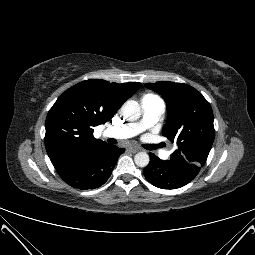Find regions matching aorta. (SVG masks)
Masks as SVG:
<instances>
[{
  "mask_svg": "<svg viewBox=\"0 0 255 255\" xmlns=\"http://www.w3.org/2000/svg\"><path fill=\"white\" fill-rule=\"evenodd\" d=\"M122 114L129 121L138 120L141 116V108L138 102L129 100L122 107ZM135 164L139 167H146L150 158L146 152H138L134 157Z\"/></svg>",
  "mask_w": 255,
  "mask_h": 255,
  "instance_id": "obj_1",
  "label": "aorta"
}]
</instances>
